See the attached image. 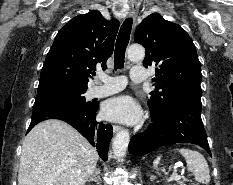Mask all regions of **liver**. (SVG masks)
I'll list each match as a JSON object with an SVG mask.
<instances>
[{
	"label": "liver",
	"mask_w": 233,
	"mask_h": 185,
	"mask_svg": "<svg viewBox=\"0 0 233 185\" xmlns=\"http://www.w3.org/2000/svg\"><path fill=\"white\" fill-rule=\"evenodd\" d=\"M99 159L95 148L69 124H37L22 145L18 185H85Z\"/></svg>",
	"instance_id": "obj_1"
}]
</instances>
